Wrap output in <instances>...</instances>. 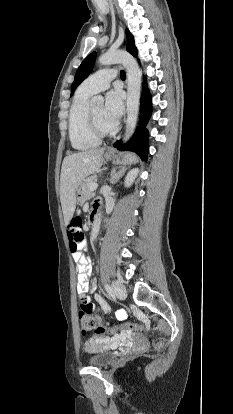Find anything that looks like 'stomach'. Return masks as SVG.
<instances>
[{"mask_svg":"<svg viewBox=\"0 0 233 414\" xmlns=\"http://www.w3.org/2000/svg\"><path fill=\"white\" fill-rule=\"evenodd\" d=\"M105 159L109 160V161H113L114 163H119L120 161L118 160V158L111 153H106L105 154ZM133 162V156L132 155H126L123 160L122 163L124 164H128V163H132ZM76 197L80 202H84L87 199V194H86V186L84 184V182H82L77 190H76Z\"/></svg>","mask_w":233,"mask_h":414,"instance_id":"stomach-1","label":"stomach"}]
</instances>
